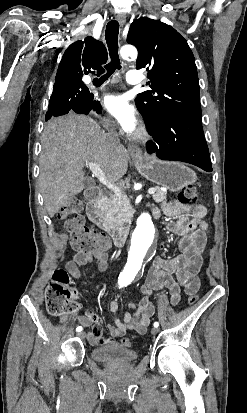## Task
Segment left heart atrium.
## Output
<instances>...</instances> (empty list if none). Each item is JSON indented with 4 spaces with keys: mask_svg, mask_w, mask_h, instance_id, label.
<instances>
[{
    "mask_svg": "<svg viewBox=\"0 0 247 413\" xmlns=\"http://www.w3.org/2000/svg\"><path fill=\"white\" fill-rule=\"evenodd\" d=\"M102 105L118 122L121 129L132 134L138 127V112L136 108L128 102L124 95L109 94L102 98Z\"/></svg>",
    "mask_w": 247,
    "mask_h": 413,
    "instance_id": "39dd6f15",
    "label": "left heart atrium"
}]
</instances>
